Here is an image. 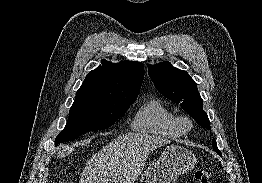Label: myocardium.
<instances>
[{"mask_svg":"<svg viewBox=\"0 0 262 183\" xmlns=\"http://www.w3.org/2000/svg\"><path fill=\"white\" fill-rule=\"evenodd\" d=\"M178 124L184 131H189L193 128V122L189 117L181 116L178 118Z\"/></svg>","mask_w":262,"mask_h":183,"instance_id":"myocardium-1","label":"myocardium"}]
</instances>
